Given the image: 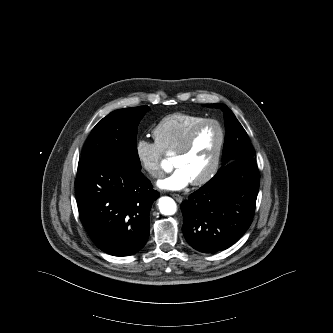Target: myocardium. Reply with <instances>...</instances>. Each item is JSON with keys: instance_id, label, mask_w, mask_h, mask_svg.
<instances>
[{"instance_id": "1", "label": "myocardium", "mask_w": 333, "mask_h": 333, "mask_svg": "<svg viewBox=\"0 0 333 333\" xmlns=\"http://www.w3.org/2000/svg\"><path fill=\"white\" fill-rule=\"evenodd\" d=\"M209 124H213L218 128L219 135H220L219 144H218L216 156H215L214 161H213L211 167L209 168V170L200 178L191 181V184L195 185V186H200V185H203V184L207 183L208 181H210L216 175V173L220 167L222 156H223V151H224V146H225V141H226V135H225V130H224L223 125L216 119H210V118L204 119L203 121L196 124L190 130V132L186 136V138L183 141V143L181 144V146L175 151L176 156L187 154L191 150L198 132L203 127H205Z\"/></svg>"}]
</instances>
